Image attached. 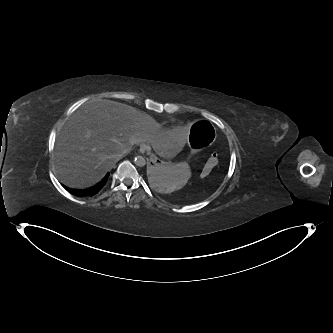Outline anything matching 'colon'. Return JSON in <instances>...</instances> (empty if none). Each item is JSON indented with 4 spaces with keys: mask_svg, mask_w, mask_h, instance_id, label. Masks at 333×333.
I'll list each match as a JSON object with an SVG mask.
<instances>
[{
    "mask_svg": "<svg viewBox=\"0 0 333 333\" xmlns=\"http://www.w3.org/2000/svg\"><path fill=\"white\" fill-rule=\"evenodd\" d=\"M218 163V154L217 153H212L206 163V165L204 166L203 170H202V176H206L208 175L211 170L217 165Z\"/></svg>",
    "mask_w": 333,
    "mask_h": 333,
    "instance_id": "obj_1",
    "label": "colon"
}]
</instances>
